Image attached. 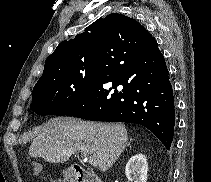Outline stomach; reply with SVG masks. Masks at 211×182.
<instances>
[{
    "label": "stomach",
    "mask_w": 211,
    "mask_h": 182,
    "mask_svg": "<svg viewBox=\"0 0 211 182\" xmlns=\"http://www.w3.org/2000/svg\"><path fill=\"white\" fill-rule=\"evenodd\" d=\"M64 174V179L67 181V182H72L73 178H74V174L70 171V170H65L63 172Z\"/></svg>",
    "instance_id": "1"
}]
</instances>
